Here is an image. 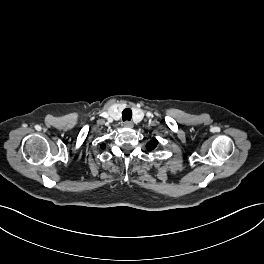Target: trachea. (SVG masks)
I'll use <instances>...</instances> for the list:
<instances>
[{
  "label": "trachea",
  "mask_w": 264,
  "mask_h": 264,
  "mask_svg": "<svg viewBox=\"0 0 264 264\" xmlns=\"http://www.w3.org/2000/svg\"><path fill=\"white\" fill-rule=\"evenodd\" d=\"M132 118V111L130 108H126L122 112V119L123 121H130Z\"/></svg>",
  "instance_id": "obj_1"
}]
</instances>
